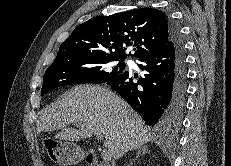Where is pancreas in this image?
Segmentation results:
<instances>
[{"label":"pancreas","instance_id":"pancreas-1","mask_svg":"<svg viewBox=\"0 0 231 166\" xmlns=\"http://www.w3.org/2000/svg\"><path fill=\"white\" fill-rule=\"evenodd\" d=\"M97 166H106V164H104V163H100L99 165H97Z\"/></svg>","mask_w":231,"mask_h":166}]
</instances>
